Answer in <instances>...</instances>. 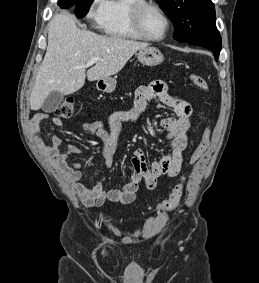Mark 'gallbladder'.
Segmentation results:
<instances>
[{
  "mask_svg": "<svg viewBox=\"0 0 259 283\" xmlns=\"http://www.w3.org/2000/svg\"><path fill=\"white\" fill-rule=\"evenodd\" d=\"M63 98V94L59 92L50 93L41 107L42 110L46 113L55 112L59 108Z\"/></svg>",
  "mask_w": 259,
  "mask_h": 283,
  "instance_id": "gallbladder-1",
  "label": "gallbladder"
}]
</instances>
